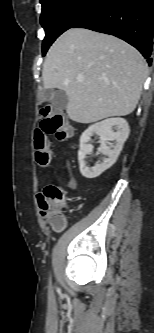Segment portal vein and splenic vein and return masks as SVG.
Segmentation results:
<instances>
[{
  "mask_svg": "<svg viewBox=\"0 0 154 333\" xmlns=\"http://www.w3.org/2000/svg\"><path fill=\"white\" fill-rule=\"evenodd\" d=\"M77 81H78V82H81V81H82V79H81V78H78V79H77Z\"/></svg>",
  "mask_w": 154,
  "mask_h": 333,
  "instance_id": "18ae733b",
  "label": "portal vein and splenic vein"
}]
</instances>
